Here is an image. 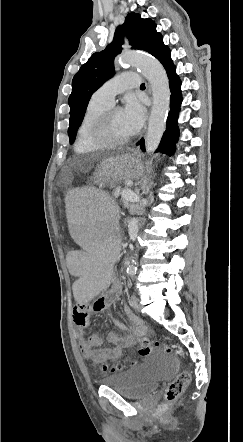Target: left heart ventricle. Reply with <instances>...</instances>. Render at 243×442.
Masks as SVG:
<instances>
[{
  "instance_id": "left-heart-ventricle-1",
  "label": "left heart ventricle",
  "mask_w": 243,
  "mask_h": 442,
  "mask_svg": "<svg viewBox=\"0 0 243 442\" xmlns=\"http://www.w3.org/2000/svg\"><path fill=\"white\" fill-rule=\"evenodd\" d=\"M132 135L123 117L122 110H116L110 117L106 136L111 140H120Z\"/></svg>"
}]
</instances>
